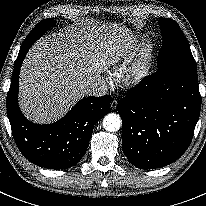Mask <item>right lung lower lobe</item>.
<instances>
[{
    "label": "right lung lower lobe",
    "mask_w": 206,
    "mask_h": 206,
    "mask_svg": "<svg viewBox=\"0 0 206 206\" xmlns=\"http://www.w3.org/2000/svg\"><path fill=\"white\" fill-rule=\"evenodd\" d=\"M34 42H23L15 61L7 93V116L20 152L31 163L48 169H67L86 153L94 125L110 112L111 96L83 98L65 117L49 125L27 120L18 106L19 71Z\"/></svg>",
    "instance_id": "1"
}]
</instances>
